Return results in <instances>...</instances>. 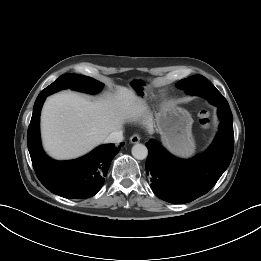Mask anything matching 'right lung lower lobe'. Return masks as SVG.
<instances>
[{"instance_id": "1", "label": "right lung lower lobe", "mask_w": 261, "mask_h": 261, "mask_svg": "<svg viewBox=\"0 0 261 261\" xmlns=\"http://www.w3.org/2000/svg\"><path fill=\"white\" fill-rule=\"evenodd\" d=\"M61 89L59 86L51 91L43 90L38 95L27 134L29 153L38 179L49 191L64 198H89L101 189L112 159L124 144L102 145L76 160L50 159L41 147L40 111L46 97Z\"/></svg>"}]
</instances>
